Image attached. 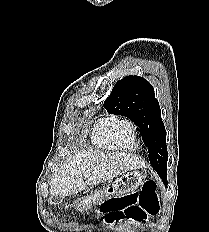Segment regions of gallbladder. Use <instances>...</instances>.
Here are the masks:
<instances>
[{"mask_svg":"<svg viewBox=\"0 0 209 232\" xmlns=\"http://www.w3.org/2000/svg\"><path fill=\"white\" fill-rule=\"evenodd\" d=\"M63 199H64V197H62V196L52 197L51 204L58 205V204L62 203Z\"/></svg>","mask_w":209,"mask_h":232,"instance_id":"obj_1","label":"gallbladder"}]
</instances>
